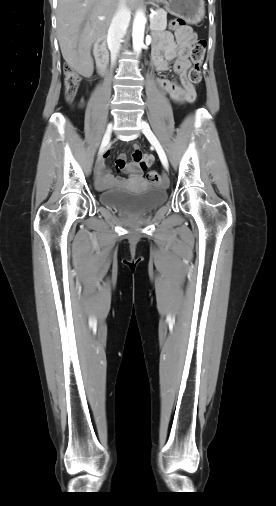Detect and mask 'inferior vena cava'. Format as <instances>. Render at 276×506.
Masks as SVG:
<instances>
[{"instance_id":"inferior-vena-cava-1","label":"inferior vena cava","mask_w":276,"mask_h":506,"mask_svg":"<svg viewBox=\"0 0 276 506\" xmlns=\"http://www.w3.org/2000/svg\"><path fill=\"white\" fill-rule=\"evenodd\" d=\"M131 12L125 0H120L118 9L108 29L107 42L111 52V64L114 65L121 48V41L129 26Z\"/></svg>"}]
</instances>
